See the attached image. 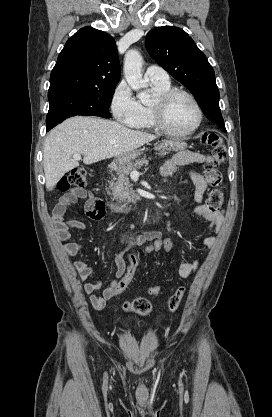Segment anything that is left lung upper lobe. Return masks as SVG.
<instances>
[{
	"mask_svg": "<svg viewBox=\"0 0 272 417\" xmlns=\"http://www.w3.org/2000/svg\"><path fill=\"white\" fill-rule=\"evenodd\" d=\"M145 46L159 65L191 91L206 117L226 132L214 70L193 39L180 28L162 26L147 34Z\"/></svg>",
	"mask_w": 272,
	"mask_h": 417,
	"instance_id": "1",
	"label": "left lung upper lobe"
}]
</instances>
